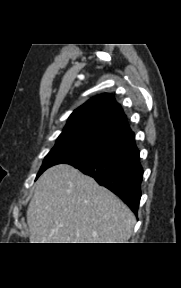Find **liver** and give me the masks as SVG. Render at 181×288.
Here are the masks:
<instances>
[{
    "instance_id": "6515ba94",
    "label": "liver",
    "mask_w": 181,
    "mask_h": 288,
    "mask_svg": "<svg viewBox=\"0 0 181 288\" xmlns=\"http://www.w3.org/2000/svg\"><path fill=\"white\" fill-rule=\"evenodd\" d=\"M135 222L116 195L68 164L40 176L27 209L31 243H126Z\"/></svg>"
}]
</instances>
